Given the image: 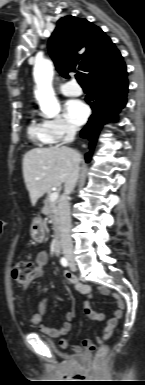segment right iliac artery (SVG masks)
<instances>
[{"label":"right iliac artery","instance_id":"right-iliac-artery-1","mask_svg":"<svg viewBox=\"0 0 145 385\" xmlns=\"http://www.w3.org/2000/svg\"><path fill=\"white\" fill-rule=\"evenodd\" d=\"M62 266L67 267L68 266V261L66 258L62 257L60 260Z\"/></svg>","mask_w":145,"mask_h":385}]
</instances>
